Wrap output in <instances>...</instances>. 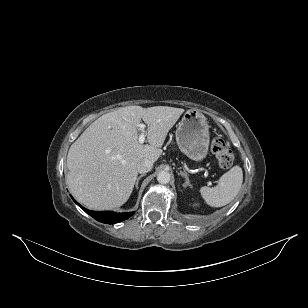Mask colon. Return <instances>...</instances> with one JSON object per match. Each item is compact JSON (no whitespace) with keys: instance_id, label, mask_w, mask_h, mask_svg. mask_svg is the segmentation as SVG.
Masks as SVG:
<instances>
[{"instance_id":"1","label":"colon","mask_w":308,"mask_h":308,"mask_svg":"<svg viewBox=\"0 0 308 308\" xmlns=\"http://www.w3.org/2000/svg\"><path fill=\"white\" fill-rule=\"evenodd\" d=\"M211 150L222 168L226 169L231 167L234 161V155L224 139L214 138L211 143Z\"/></svg>"}]
</instances>
